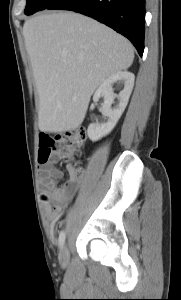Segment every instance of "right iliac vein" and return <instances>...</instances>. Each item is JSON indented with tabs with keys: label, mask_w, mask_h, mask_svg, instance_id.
<instances>
[{
	"label": "right iliac vein",
	"mask_w": 181,
	"mask_h": 300,
	"mask_svg": "<svg viewBox=\"0 0 181 300\" xmlns=\"http://www.w3.org/2000/svg\"><path fill=\"white\" fill-rule=\"evenodd\" d=\"M59 263L62 267H67L69 265V249L67 245H63L59 252Z\"/></svg>",
	"instance_id": "obj_1"
}]
</instances>
